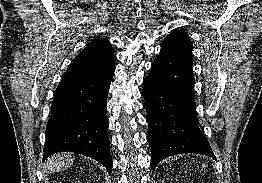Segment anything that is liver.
Here are the masks:
<instances>
[{
  "label": "liver",
  "mask_w": 262,
  "mask_h": 183,
  "mask_svg": "<svg viewBox=\"0 0 262 183\" xmlns=\"http://www.w3.org/2000/svg\"><path fill=\"white\" fill-rule=\"evenodd\" d=\"M72 163L73 157L71 153H59L47 159L44 164V170L46 173L59 172L69 168Z\"/></svg>",
  "instance_id": "liver-1"
}]
</instances>
